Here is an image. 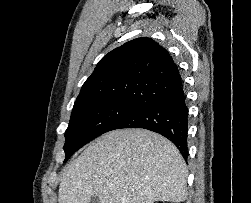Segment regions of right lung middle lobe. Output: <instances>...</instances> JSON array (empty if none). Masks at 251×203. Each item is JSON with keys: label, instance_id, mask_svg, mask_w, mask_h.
Returning <instances> with one entry per match:
<instances>
[{"label": "right lung middle lobe", "instance_id": "right-lung-middle-lobe-1", "mask_svg": "<svg viewBox=\"0 0 251 203\" xmlns=\"http://www.w3.org/2000/svg\"><path fill=\"white\" fill-rule=\"evenodd\" d=\"M142 106L119 102H101L74 105L69 126L65 132L64 162L78 149L103 133L111 131L123 119Z\"/></svg>", "mask_w": 251, "mask_h": 203}]
</instances>
